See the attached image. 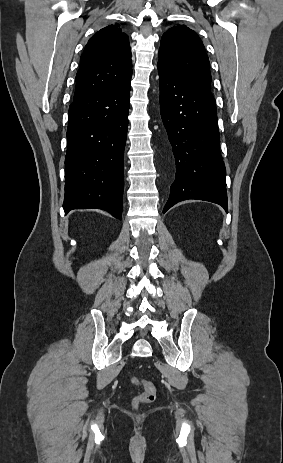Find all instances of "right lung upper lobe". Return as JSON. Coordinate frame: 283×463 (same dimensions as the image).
I'll return each mask as SVG.
<instances>
[{
	"label": "right lung upper lobe",
	"mask_w": 283,
	"mask_h": 463,
	"mask_svg": "<svg viewBox=\"0 0 283 463\" xmlns=\"http://www.w3.org/2000/svg\"><path fill=\"white\" fill-rule=\"evenodd\" d=\"M132 75L131 49L119 25L98 31L87 43L76 75L74 99L126 82Z\"/></svg>",
	"instance_id": "obj_1"
}]
</instances>
